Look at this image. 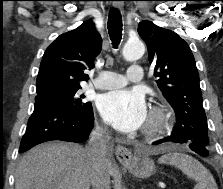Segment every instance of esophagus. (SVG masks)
Returning <instances> with one entry per match:
<instances>
[{"mask_svg": "<svg viewBox=\"0 0 223 189\" xmlns=\"http://www.w3.org/2000/svg\"><path fill=\"white\" fill-rule=\"evenodd\" d=\"M113 5L118 9H122L123 7L122 2L119 0H116ZM115 154L119 162L122 164L128 165L132 162V152L124 146H117L115 149Z\"/></svg>", "mask_w": 223, "mask_h": 189, "instance_id": "34e87169", "label": "esophagus"}]
</instances>
